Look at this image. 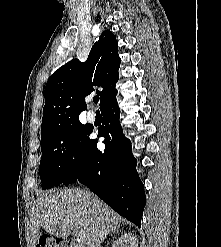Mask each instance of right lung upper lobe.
<instances>
[{
	"mask_svg": "<svg viewBox=\"0 0 221 247\" xmlns=\"http://www.w3.org/2000/svg\"><path fill=\"white\" fill-rule=\"evenodd\" d=\"M120 62L118 42L112 32L105 30L92 46L86 62L73 59L57 69L45 87L41 138L79 122L80 113L87 108L84 98L95 86L103 89L96 90L100 109L114 99Z\"/></svg>",
	"mask_w": 221,
	"mask_h": 247,
	"instance_id": "1",
	"label": "right lung upper lobe"
}]
</instances>
